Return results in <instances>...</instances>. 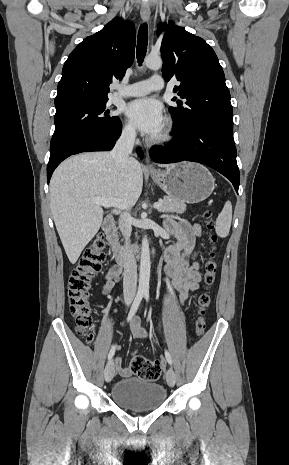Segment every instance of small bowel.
<instances>
[{
  "label": "small bowel",
  "mask_w": 289,
  "mask_h": 465,
  "mask_svg": "<svg viewBox=\"0 0 289 465\" xmlns=\"http://www.w3.org/2000/svg\"><path fill=\"white\" fill-rule=\"evenodd\" d=\"M166 230L177 238V243L168 247L164 253L165 273L173 289L178 293L181 301L188 298L191 292L199 289L201 275L197 262L192 261L196 253V242L200 236L197 224L167 220ZM121 269L112 266L104 275L105 283L102 287L104 294L109 293L119 281ZM132 335L136 339L147 338L148 333L141 326L140 317L136 316L130 324ZM116 370L123 377L131 375V370L122 366L120 357L114 360Z\"/></svg>",
  "instance_id": "obj_1"
}]
</instances>
